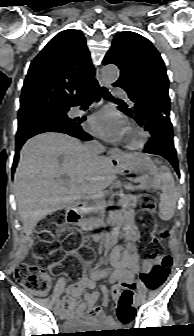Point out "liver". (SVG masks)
Wrapping results in <instances>:
<instances>
[{"mask_svg":"<svg viewBox=\"0 0 194 336\" xmlns=\"http://www.w3.org/2000/svg\"><path fill=\"white\" fill-rule=\"evenodd\" d=\"M121 173L109 157L91 158L86 145L59 133L39 134L20 151L14 192L24 233L48 214L85 197L102 195ZM69 180H61V176Z\"/></svg>","mask_w":194,"mask_h":336,"instance_id":"1","label":"liver"}]
</instances>
